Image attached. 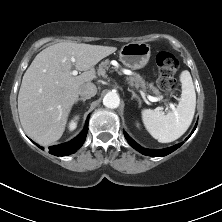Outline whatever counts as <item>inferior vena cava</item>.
Returning <instances> with one entry per match:
<instances>
[{
  "instance_id": "602c4592",
  "label": "inferior vena cava",
  "mask_w": 222,
  "mask_h": 222,
  "mask_svg": "<svg viewBox=\"0 0 222 222\" xmlns=\"http://www.w3.org/2000/svg\"><path fill=\"white\" fill-rule=\"evenodd\" d=\"M96 93H97V88L93 83L84 84L79 90V95L87 99L95 96Z\"/></svg>"
}]
</instances>
